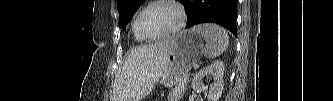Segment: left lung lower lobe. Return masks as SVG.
Masks as SVG:
<instances>
[{
  "mask_svg": "<svg viewBox=\"0 0 333 101\" xmlns=\"http://www.w3.org/2000/svg\"><path fill=\"white\" fill-rule=\"evenodd\" d=\"M188 15L189 28L199 23H216L237 37V0H182Z\"/></svg>",
  "mask_w": 333,
  "mask_h": 101,
  "instance_id": "1",
  "label": "left lung lower lobe"
}]
</instances>
